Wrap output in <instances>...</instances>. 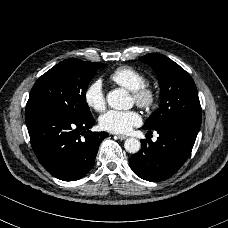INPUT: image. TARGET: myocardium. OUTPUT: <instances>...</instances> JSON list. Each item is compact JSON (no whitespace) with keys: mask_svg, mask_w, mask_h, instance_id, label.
Instances as JSON below:
<instances>
[{"mask_svg":"<svg viewBox=\"0 0 228 228\" xmlns=\"http://www.w3.org/2000/svg\"><path fill=\"white\" fill-rule=\"evenodd\" d=\"M132 93L136 104L142 108L153 106L157 99L155 88L149 84L142 85Z\"/></svg>","mask_w":228,"mask_h":228,"instance_id":"f54148a6","label":"myocardium"}]
</instances>
